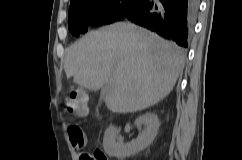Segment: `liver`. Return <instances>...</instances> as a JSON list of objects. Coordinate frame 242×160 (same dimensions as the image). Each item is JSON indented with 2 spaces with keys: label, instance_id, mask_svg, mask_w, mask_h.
Returning a JSON list of instances; mask_svg holds the SVG:
<instances>
[{
  "label": "liver",
  "instance_id": "liver-1",
  "mask_svg": "<svg viewBox=\"0 0 242 160\" xmlns=\"http://www.w3.org/2000/svg\"><path fill=\"white\" fill-rule=\"evenodd\" d=\"M184 67L175 43L132 23H115L87 33L67 51V78L89 90L102 88L114 113L144 110L163 100Z\"/></svg>",
  "mask_w": 242,
  "mask_h": 160
}]
</instances>
